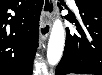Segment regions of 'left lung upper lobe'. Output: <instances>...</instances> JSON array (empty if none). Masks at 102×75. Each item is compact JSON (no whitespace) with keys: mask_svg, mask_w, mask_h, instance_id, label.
<instances>
[{"mask_svg":"<svg viewBox=\"0 0 102 75\" xmlns=\"http://www.w3.org/2000/svg\"><path fill=\"white\" fill-rule=\"evenodd\" d=\"M76 3H87L102 7V0H75Z\"/></svg>","mask_w":102,"mask_h":75,"instance_id":"obj_1","label":"left lung upper lobe"}]
</instances>
